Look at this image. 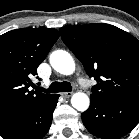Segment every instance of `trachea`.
I'll return each mask as SVG.
<instances>
[{"instance_id":"1","label":"trachea","mask_w":139,"mask_h":139,"mask_svg":"<svg viewBox=\"0 0 139 139\" xmlns=\"http://www.w3.org/2000/svg\"><path fill=\"white\" fill-rule=\"evenodd\" d=\"M71 92L72 86L69 82H53L48 89L39 88V92L57 93V92Z\"/></svg>"}]
</instances>
